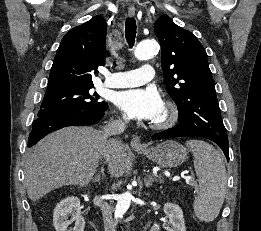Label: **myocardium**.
<instances>
[{
	"instance_id": "myocardium-1",
	"label": "myocardium",
	"mask_w": 261,
	"mask_h": 231,
	"mask_svg": "<svg viewBox=\"0 0 261 231\" xmlns=\"http://www.w3.org/2000/svg\"><path fill=\"white\" fill-rule=\"evenodd\" d=\"M164 116L151 122V127L156 130H166L173 127L179 118V108L175 102L166 100L163 103Z\"/></svg>"
}]
</instances>
